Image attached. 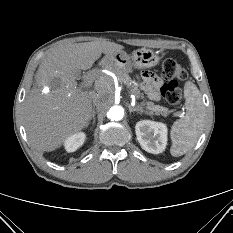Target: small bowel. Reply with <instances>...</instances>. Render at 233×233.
<instances>
[{
  "label": "small bowel",
  "instance_id": "c3829d8e",
  "mask_svg": "<svg viewBox=\"0 0 233 233\" xmlns=\"http://www.w3.org/2000/svg\"><path fill=\"white\" fill-rule=\"evenodd\" d=\"M141 86L148 97L153 101L160 100V87L162 85V80L155 74L145 71L141 73Z\"/></svg>",
  "mask_w": 233,
  "mask_h": 233
}]
</instances>
